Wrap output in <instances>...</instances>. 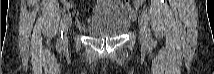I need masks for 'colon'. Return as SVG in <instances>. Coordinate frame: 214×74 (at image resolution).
<instances>
[{"label":"colon","instance_id":"colon-1","mask_svg":"<svg viewBox=\"0 0 214 74\" xmlns=\"http://www.w3.org/2000/svg\"><path fill=\"white\" fill-rule=\"evenodd\" d=\"M145 2V0H136L135 3L138 5H141Z\"/></svg>","mask_w":214,"mask_h":74}]
</instances>
